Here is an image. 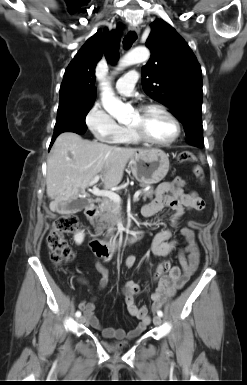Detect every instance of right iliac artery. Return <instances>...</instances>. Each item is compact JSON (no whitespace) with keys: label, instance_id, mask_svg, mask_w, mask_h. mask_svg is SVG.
<instances>
[{"label":"right iliac artery","instance_id":"obj_1","mask_svg":"<svg viewBox=\"0 0 247 385\" xmlns=\"http://www.w3.org/2000/svg\"><path fill=\"white\" fill-rule=\"evenodd\" d=\"M75 315H76V317H80L81 316V312L77 311Z\"/></svg>","mask_w":247,"mask_h":385}]
</instances>
